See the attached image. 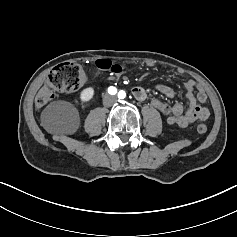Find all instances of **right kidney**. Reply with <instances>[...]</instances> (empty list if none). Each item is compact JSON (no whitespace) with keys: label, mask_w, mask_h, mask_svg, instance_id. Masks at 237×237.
I'll use <instances>...</instances> for the list:
<instances>
[{"label":"right kidney","mask_w":237,"mask_h":237,"mask_svg":"<svg viewBox=\"0 0 237 237\" xmlns=\"http://www.w3.org/2000/svg\"><path fill=\"white\" fill-rule=\"evenodd\" d=\"M93 95H94V89L89 87L81 92L80 99L82 102H87L93 98Z\"/></svg>","instance_id":"right-kidney-1"}]
</instances>
